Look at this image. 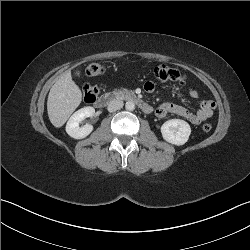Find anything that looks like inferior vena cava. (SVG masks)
I'll use <instances>...</instances> for the list:
<instances>
[{"mask_svg": "<svg viewBox=\"0 0 250 250\" xmlns=\"http://www.w3.org/2000/svg\"><path fill=\"white\" fill-rule=\"evenodd\" d=\"M123 101L119 99H114L108 104V111L115 112L116 110H120L123 107Z\"/></svg>", "mask_w": 250, "mask_h": 250, "instance_id": "inferior-vena-cava-1", "label": "inferior vena cava"}]
</instances>
